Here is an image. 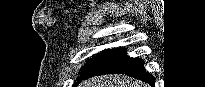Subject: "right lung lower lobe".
<instances>
[{
	"mask_svg": "<svg viewBox=\"0 0 205 87\" xmlns=\"http://www.w3.org/2000/svg\"><path fill=\"white\" fill-rule=\"evenodd\" d=\"M143 64L144 62L141 59L128 57L126 49L117 48L94 65L82 80L95 75L120 73L153 85L155 78L145 71Z\"/></svg>",
	"mask_w": 205,
	"mask_h": 87,
	"instance_id": "right-lung-lower-lobe-1",
	"label": "right lung lower lobe"
}]
</instances>
